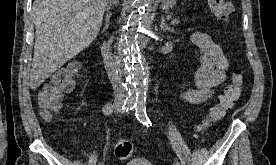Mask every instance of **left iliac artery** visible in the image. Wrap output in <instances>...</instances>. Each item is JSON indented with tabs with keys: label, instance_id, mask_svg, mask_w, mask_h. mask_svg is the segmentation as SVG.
Here are the masks:
<instances>
[{
	"label": "left iliac artery",
	"instance_id": "1",
	"mask_svg": "<svg viewBox=\"0 0 276 165\" xmlns=\"http://www.w3.org/2000/svg\"><path fill=\"white\" fill-rule=\"evenodd\" d=\"M135 115L140 123L146 126H149V125L151 126V122L146 113V106H145L144 100L140 99L137 101L135 106ZM175 165H181V164L177 161Z\"/></svg>",
	"mask_w": 276,
	"mask_h": 165
}]
</instances>
